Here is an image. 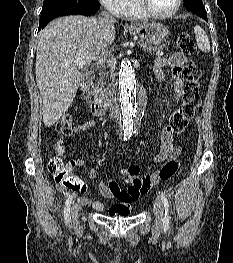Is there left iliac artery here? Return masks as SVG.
Returning a JSON list of instances; mask_svg holds the SVG:
<instances>
[{"instance_id": "obj_1", "label": "left iliac artery", "mask_w": 233, "mask_h": 263, "mask_svg": "<svg viewBox=\"0 0 233 263\" xmlns=\"http://www.w3.org/2000/svg\"><path fill=\"white\" fill-rule=\"evenodd\" d=\"M160 197H161V200L164 204V207H165V215H164V218H163V226L165 229H168L169 227V220H170V215H169V202H168V199L166 197V195L164 193H160Z\"/></svg>"}]
</instances>
